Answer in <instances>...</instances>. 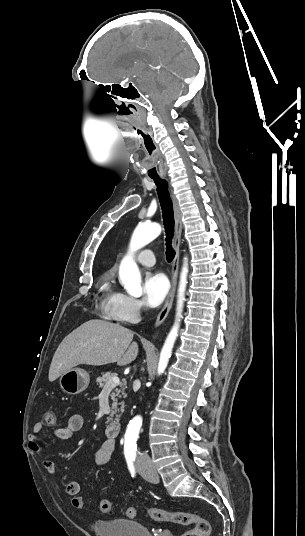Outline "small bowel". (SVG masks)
Returning a JSON list of instances; mask_svg holds the SVG:
<instances>
[{"label": "small bowel", "mask_w": 305, "mask_h": 536, "mask_svg": "<svg viewBox=\"0 0 305 536\" xmlns=\"http://www.w3.org/2000/svg\"><path fill=\"white\" fill-rule=\"evenodd\" d=\"M84 419L80 414H73L69 417L67 424L63 427H58L54 430V436L59 440H68L76 432L80 431L83 428ZM44 427H32V433L29 437V448L35 452L39 453L41 451V446L39 443V434L42 432ZM115 449V442L111 439H106L102 442L100 448L95 453L94 462L97 466H103L107 464L111 455ZM43 467L47 473L54 475L56 473V465L50 459L43 460ZM82 488V483L80 481H72L68 483L64 488V493L69 496H75L79 494Z\"/></svg>", "instance_id": "1"}]
</instances>
